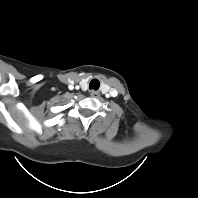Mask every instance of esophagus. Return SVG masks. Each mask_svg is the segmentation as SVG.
Returning a JSON list of instances; mask_svg holds the SVG:
<instances>
[{
    "label": "esophagus",
    "instance_id": "34e87169",
    "mask_svg": "<svg viewBox=\"0 0 198 198\" xmlns=\"http://www.w3.org/2000/svg\"><path fill=\"white\" fill-rule=\"evenodd\" d=\"M90 95L94 98H98L100 96L99 92L95 90L90 91Z\"/></svg>",
    "mask_w": 198,
    "mask_h": 198
}]
</instances>
